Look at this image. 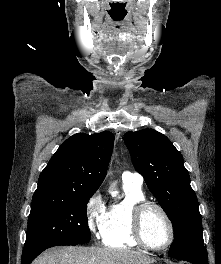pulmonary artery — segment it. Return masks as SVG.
Returning <instances> with one entry per match:
<instances>
[{"label": "pulmonary artery", "mask_w": 221, "mask_h": 264, "mask_svg": "<svg viewBox=\"0 0 221 264\" xmlns=\"http://www.w3.org/2000/svg\"><path fill=\"white\" fill-rule=\"evenodd\" d=\"M123 183H132L137 186H141L143 183V177L137 172L124 171L122 173Z\"/></svg>", "instance_id": "e3ab8cb5"}]
</instances>
